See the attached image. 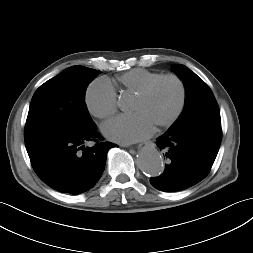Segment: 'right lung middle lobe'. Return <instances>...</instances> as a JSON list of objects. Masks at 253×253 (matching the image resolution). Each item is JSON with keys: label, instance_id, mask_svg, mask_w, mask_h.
<instances>
[{"label": "right lung middle lobe", "instance_id": "1", "mask_svg": "<svg viewBox=\"0 0 253 253\" xmlns=\"http://www.w3.org/2000/svg\"><path fill=\"white\" fill-rule=\"evenodd\" d=\"M100 71L72 66L41 85L33 95L25 125L27 152L55 137L91 127L85 91Z\"/></svg>", "mask_w": 253, "mask_h": 253}]
</instances>
